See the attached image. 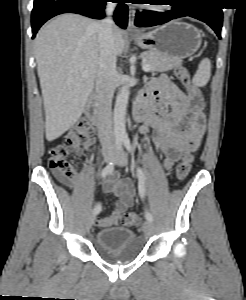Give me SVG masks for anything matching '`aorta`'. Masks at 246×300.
<instances>
[{
  "mask_svg": "<svg viewBox=\"0 0 246 300\" xmlns=\"http://www.w3.org/2000/svg\"><path fill=\"white\" fill-rule=\"evenodd\" d=\"M130 94V85H123L117 95L113 113L114 133L117 139H126V108Z\"/></svg>",
  "mask_w": 246,
  "mask_h": 300,
  "instance_id": "762f6f07",
  "label": "aorta"
}]
</instances>
